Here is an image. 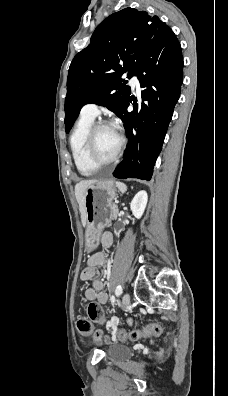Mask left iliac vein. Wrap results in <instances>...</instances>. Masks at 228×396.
Listing matches in <instances>:
<instances>
[{"instance_id":"obj_1","label":"left iliac vein","mask_w":228,"mask_h":396,"mask_svg":"<svg viewBox=\"0 0 228 396\" xmlns=\"http://www.w3.org/2000/svg\"><path fill=\"white\" fill-rule=\"evenodd\" d=\"M130 303V295L128 293H125L122 296V302H121V306L123 309H125Z\"/></svg>"}]
</instances>
